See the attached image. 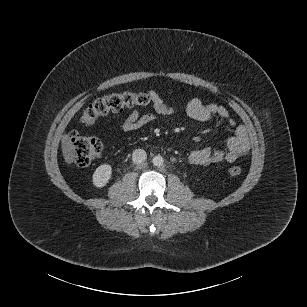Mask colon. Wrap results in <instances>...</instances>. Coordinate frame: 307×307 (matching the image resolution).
Here are the masks:
<instances>
[{
  "instance_id": "obj_1",
  "label": "colon",
  "mask_w": 307,
  "mask_h": 307,
  "mask_svg": "<svg viewBox=\"0 0 307 307\" xmlns=\"http://www.w3.org/2000/svg\"><path fill=\"white\" fill-rule=\"evenodd\" d=\"M152 101V98L146 92L123 91L113 93L98 98L86 106L80 115V123L84 126H91L101 116L111 111H120L135 106L145 107ZM69 139L74 146L75 161L79 166L90 165L103 153V144L96 137L83 135L75 130L70 132ZM228 173L231 176H239L242 169L239 166H232L228 169Z\"/></svg>"
}]
</instances>
